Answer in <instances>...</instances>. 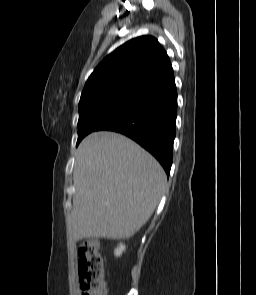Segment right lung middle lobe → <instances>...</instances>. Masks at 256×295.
Wrapping results in <instances>:
<instances>
[{
  "label": "right lung middle lobe",
  "mask_w": 256,
  "mask_h": 295,
  "mask_svg": "<svg viewBox=\"0 0 256 295\" xmlns=\"http://www.w3.org/2000/svg\"><path fill=\"white\" fill-rule=\"evenodd\" d=\"M136 94H120L92 105L79 106L77 145L87 134L98 130L105 122L122 111Z\"/></svg>",
  "instance_id": "dd1d6c3e"
}]
</instances>
